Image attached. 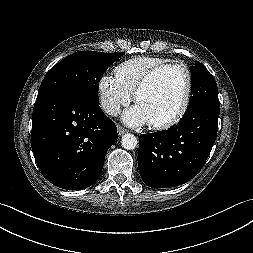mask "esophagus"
<instances>
[{"mask_svg": "<svg viewBox=\"0 0 253 253\" xmlns=\"http://www.w3.org/2000/svg\"><path fill=\"white\" fill-rule=\"evenodd\" d=\"M117 131L120 136L127 132V130L121 127L120 125L117 126Z\"/></svg>", "mask_w": 253, "mask_h": 253, "instance_id": "esophagus-1", "label": "esophagus"}]
</instances>
